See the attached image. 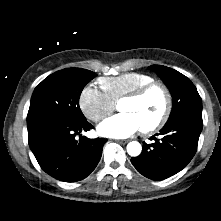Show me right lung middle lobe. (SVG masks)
Returning <instances> with one entry per match:
<instances>
[{"label": "right lung middle lobe", "mask_w": 221, "mask_h": 221, "mask_svg": "<svg viewBox=\"0 0 221 221\" xmlns=\"http://www.w3.org/2000/svg\"><path fill=\"white\" fill-rule=\"evenodd\" d=\"M94 77V72L80 68H67L49 75L32 94L27 127L55 118L85 120L79 98L85 85Z\"/></svg>", "instance_id": "1"}]
</instances>
